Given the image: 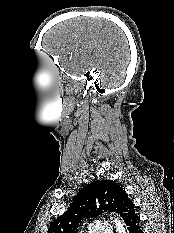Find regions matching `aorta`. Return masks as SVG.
<instances>
[{"label": "aorta", "instance_id": "1", "mask_svg": "<svg viewBox=\"0 0 174 233\" xmlns=\"http://www.w3.org/2000/svg\"><path fill=\"white\" fill-rule=\"evenodd\" d=\"M112 222L115 226L117 233H127L125 225L121 220H119L118 218H114Z\"/></svg>", "mask_w": 174, "mask_h": 233}]
</instances>
